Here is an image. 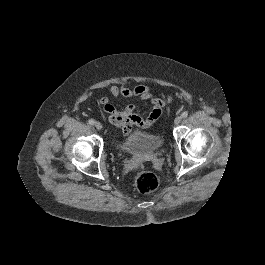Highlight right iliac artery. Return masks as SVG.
Returning a JSON list of instances; mask_svg holds the SVG:
<instances>
[{
    "label": "right iliac artery",
    "mask_w": 265,
    "mask_h": 265,
    "mask_svg": "<svg viewBox=\"0 0 265 265\" xmlns=\"http://www.w3.org/2000/svg\"><path fill=\"white\" fill-rule=\"evenodd\" d=\"M88 123H89L90 125H94V124H95V121H94L93 119H89Z\"/></svg>",
    "instance_id": "82829eb1"
}]
</instances>
